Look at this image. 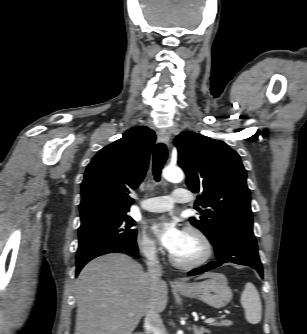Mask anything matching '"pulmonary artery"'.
Masks as SVG:
<instances>
[{
  "label": "pulmonary artery",
  "instance_id": "pulmonary-artery-1",
  "mask_svg": "<svg viewBox=\"0 0 307 334\" xmlns=\"http://www.w3.org/2000/svg\"><path fill=\"white\" fill-rule=\"evenodd\" d=\"M190 200L187 190L178 188L171 195L155 196L141 202V207L149 212H164L170 210L174 203L189 202Z\"/></svg>",
  "mask_w": 307,
  "mask_h": 334
}]
</instances>
